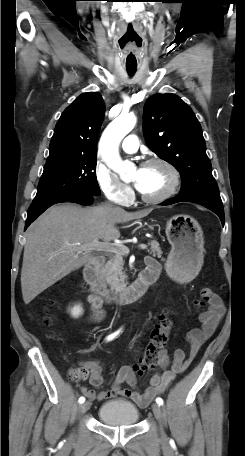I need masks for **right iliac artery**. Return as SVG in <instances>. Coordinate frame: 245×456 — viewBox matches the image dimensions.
I'll return each mask as SVG.
<instances>
[{"instance_id":"1","label":"right iliac artery","mask_w":245,"mask_h":456,"mask_svg":"<svg viewBox=\"0 0 245 456\" xmlns=\"http://www.w3.org/2000/svg\"><path fill=\"white\" fill-rule=\"evenodd\" d=\"M121 332H122V329H119L118 331H116V332L112 333L111 335H109V336L106 338V340H107V341L113 340V339L116 338ZM78 402H79L80 404L84 403V402H85V398H84L83 396H81V397L79 398Z\"/></svg>"}]
</instances>
